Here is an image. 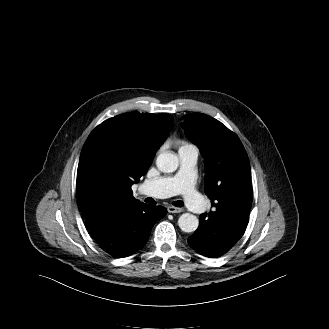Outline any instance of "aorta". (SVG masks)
I'll return each instance as SVG.
<instances>
[{"instance_id": "aorta-1", "label": "aorta", "mask_w": 329, "mask_h": 329, "mask_svg": "<svg viewBox=\"0 0 329 329\" xmlns=\"http://www.w3.org/2000/svg\"><path fill=\"white\" fill-rule=\"evenodd\" d=\"M157 168L163 173L176 171L179 166V159L176 154L163 152L156 159ZM199 225L198 218L190 213L182 214L178 219V226L183 232L191 233L197 230Z\"/></svg>"}]
</instances>
